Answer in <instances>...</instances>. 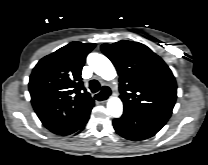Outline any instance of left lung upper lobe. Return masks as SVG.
<instances>
[{
	"label": "left lung upper lobe",
	"mask_w": 208,
	"mask_h": 165,
	"mask_svg": "<svg viewBox=\"0 0 208 165\" xmlns=\"http://www.w3.org/2000/svg\"><path fill=\"white\" fill-rule=\"evenodd\" d=\"M101 50L119 74L124 110L169 119L177 98V85L166 63L138 42L103 44Z\"/></svg>",
	"instance_id": "1"
}]
</instances>
